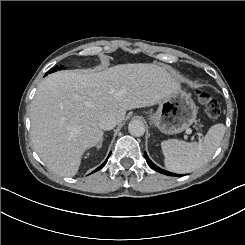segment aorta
Returning <instances> with one entry per match:
<instances>
[{
    "instance_id": "obj_1",
    "label": "aorta",
    "mask_w": 245,
    "mask_h": 245,
    "mask_svg": "<svg viewBox=\"0 0 245 245\" xmlns=\"http://www.w3.org/2000/svg\"><path fill=\"white\" fill-rule=\"evenodd\" d=\"M128 131L132 136L140 137L145 133V126L139 120H132L128 125Z\"/></svg>"
}]
</instances>
